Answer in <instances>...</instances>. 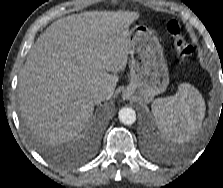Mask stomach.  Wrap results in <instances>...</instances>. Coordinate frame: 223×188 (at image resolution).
I'll use <instances>...</instances> for the list:
<instances>
[{"label":"stomach","mask_w":223,"mask_h":188,"mask_svg":"<svg viewBox=\"0 0 223 188\" xmlns=\"http://www.w3.org/2000/svg\"><path fill=\"white\" fill-rule=\"evenodd\" d=\"M130 83L124 97L150 102L169 84V72L158 38L144 25L134 26L128 33Z\"/></svg>","instance_id":"1"}]
</instances>
